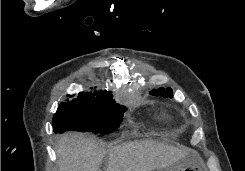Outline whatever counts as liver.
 Wrapping results in <instances>:
<instances>
[{
	"mask_svg": "<svg viewBox=\"0 0 245 171\" xmlns=\"http://www.w3.org/2000/svg\"><path fill=\"white\" fill-rule=\"evenodd\" d=\"M59 171H101L108 153L107 171H153L171 166L190 152L152 140H140L102 149L82 133H66L56 148Z\"/></svg>",
	"mask_w": 245,
	"mask_h": 171,
	"instance_id": "6515ba94",
	"label": "liver"
}]
</instances>
